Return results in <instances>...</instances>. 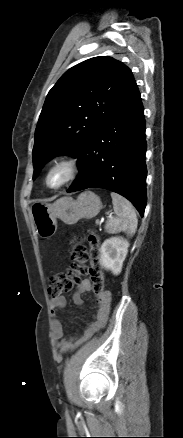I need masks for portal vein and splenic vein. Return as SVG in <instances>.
Returning <instances> with one entry per match:
<instances>
[{
    "label": "portal vein and splenic vein",
    "mask_w": 183,
    "mask_h": 438,
    "mask_svg": "<svg viewBox=\"0 0 183 438\" xmlns=\"http://www.w3.org/2000/svg\"><path fill=\"white\" fill-rule=\"evenodd\" d=\"M102 222H103L102 220L101 221L99 219L96 220L97 224H101Z\"/></svg>",
    "instance_id": "obj_1"
}]
</instances>
